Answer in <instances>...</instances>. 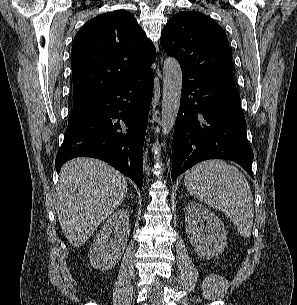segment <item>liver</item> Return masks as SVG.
Here are the masks:
<instances>
[{
  "mask_svg": "<svg viewBox=\"0 0 297 305\" xmlns=\"http://www.w3.org/2000/svg\"><path fill=\"white\" fill-rule=\"evenodd\" d=\"M127 187L124 175L101 160L79 157L63 165L55 208L62 231L74 247L82 246L120 206Z\"/></svg>",
  "mask_w": 297,
  "mask_h": 305,
  "instance_id": "1",
  "label": "liver"
}]
</instances>
